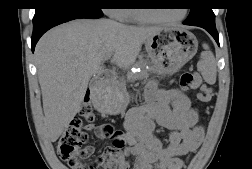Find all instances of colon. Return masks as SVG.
<instances>
[{"mask_svg":"<svg viewBox=\"0 0 252 169\" xmlns=\"http://www.w3.org/2000/svg\"><path fill=\"white\" fill-rule=\"evenodd\" d=\"M180 83L181 87L186 91L201 90V93L198 94V99L201 101H208L211 98V88L203 85L193 72L188 71L183 73ZM80 116L89 123L94 120L93 109L88 103L81 107ZM97 135L102 139L113 140V144L118 147L123 146V134L112 124L104 123L99 125ZM86 141L87 134L83 129L82 121L80 118H76L64 129L57 142L58 155L70 169H100L102 166H105L108 160L106 152L101 153L90 164L84 162L83 159L93 153L91 147L84 146Z\"/></svg>","mask_w":252,"mask_h":169,"instance_id":"obj_1","label":"colon"}]
</instances>
